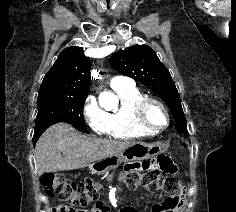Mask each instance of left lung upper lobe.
<instances>
[{"label": "left lung upper lobe", "mask_w": 236, "mask_h": 212, "mask_svg": "<svg viewBox=\"0 0 236 212\" xmlns=\"http://www.w3.org/2000/svg\"><path fill=\"white\" fill-rule=\"evenodd\" d=\"M111 66L120 74L131 77L154 91L169 106L175 128L188 134L177 88L168 69L147 45H134L116 52L110 59Z\"/></svg>", "instance_id": "1"}]
</instances>
